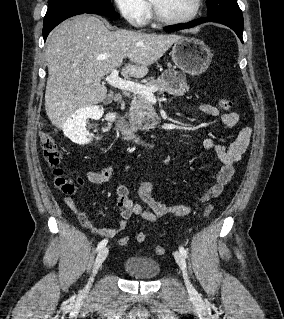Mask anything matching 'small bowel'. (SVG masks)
I'll list each match as a JSON object with an SVG mask.
<instances>
[{"label": "small bowel", "instance_id": "c3829d8e", "mask_svg": "<svg viewBox=\"0 0 284 319\" xmlns=\"http://www.w3.org/2000/svg\"><path fill=\"white\" fill-rule=\"evenodd\" d=\"M200 110L211 117L220 116L222 123L228 128H234L239 122V115L237 113L228 112L220 114L215 106L208 103L200 105ZM251 134L252 131L249 127H243L237 132L234 141L227 146L218 144L212 139H205L203 141L204 149L213 152L222 166L217 174L216 182L196 198L194 205L209 201L221 195L224 187L230 182L234 174V164L242 158L248 148ZM86 177L92 183H104L111 177V172L110 170H103L100 172L88 170L86 172ZM116 194L120 220L114 228H100L95 226L89 219L87 213L76 207L71 197H66L65 202L68 207L77 214L80 223L85 228L92 233L103 237H113L122 232L126 228L128 220L133 215L139 216L148 222H155L158 219L169 215L175 217L184 216L189 214L192 210L191 206H169L163 204L157 198L153 185L150 183H143L138 188L139 197L146 205L147 209L129 198V191L126 186H118Z\"/></svg>", "mask_w": 284, "mask_h": 319}]
</instances>
